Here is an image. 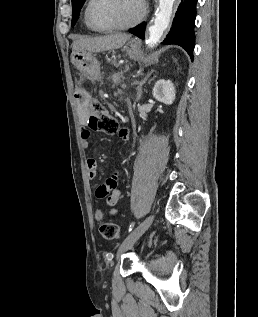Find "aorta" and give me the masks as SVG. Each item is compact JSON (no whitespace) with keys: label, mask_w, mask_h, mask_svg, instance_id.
<instances>
[{"label":"aorta","mask_w":258,"mask_h":317,"mask_svg":"<svg viewBox=\"0 0 258 317\" xmlns=\"http://www.w3.org/2000/svg\"><path fill=\"white\" fill-rule=\"evenodd\" d=\"M174 1L175 0H159V7L155 13L154 22L148 28L149 36L146 40V44L149 48H153L159 43L164 31L168 28Z\"/></svg>","instance_id":"aorta-1"}]
</instances>
